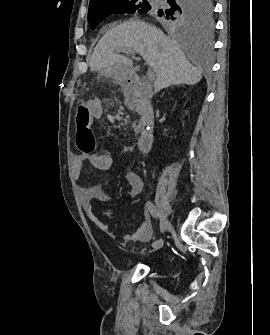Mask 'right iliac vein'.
<instances>
[{"mask_svg": "<svg viewBox=\"0 0 270 335\" xmlns=\"http://www.w3.org/2000/svg\"><path fill=\"white\" fill-rule=\"evenodd\" d=\"M170 227H171L170 222L165 216H163L160 222V232L164 233L166 230L170 229Z\"/></svg>", "mask_w": 270, "mask_h": 335, "instance_id": "1", "label": "right iliac vein"}]
</instances>
